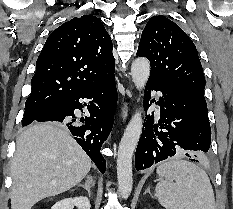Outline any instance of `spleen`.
<instances>
[{
  "mask_svg": "<svg viewBox=\"0 0 233 209\" xmlns=\"http://www.w3.org/2000/svg\"><path fill=\"white\" fill-rule=\"evenodd\" d=\"M158 202L166 209H215L213 188L206 172L180 159H170L157 168ZM170 180H174L175 184Z\"/></svg>",
  "mask_w": 233,
  "mask_h": 209,
  "instance_id": "1",
  "label": "spleen"
}]
</instances>
